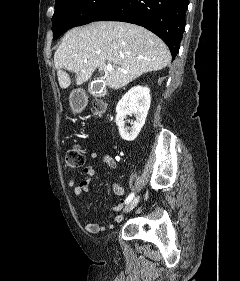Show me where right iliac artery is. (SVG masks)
Segmentation results:
<instances>
[{
	"mask_svg": "<svg viewBox=\"0 0 240 281\" xmlns=\"http://www.w3.org/2000/svg\"><path fill=\"white\" fill-rule=\"evenodd\" d=\"M134 195V193L129 194V196L125 200V204H128L133 199Z\"/></svg>",
	"mask_w": 240,
	"mask_h": 281,
	"instance_id": "82829eb1",
	"label": "right iliac artery"
}]
</instances>
